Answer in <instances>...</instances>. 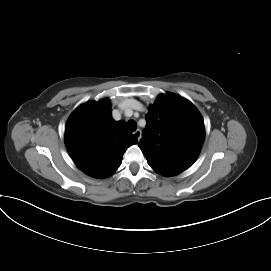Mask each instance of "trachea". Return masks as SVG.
<instances>
[{"mask_svg": "<svg viewBox=\"0 0 271 271\" xmlns=\"http://www.w3.org/2000/svg\"><path fill=\"white\" fill-rule=\"evenodd\" d=\"M126 128L128 131L130 132H134L137 128V124L134 120H129L127 123H126Z\"/></svg>", "mask_w": 271, "mask_h": 271, "instance_id": "trachea-1", "label": "trachea"}]
</instances>
